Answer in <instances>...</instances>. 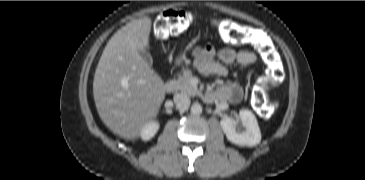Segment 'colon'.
I'll use <instances>...</instances> for the list:
<instances>
[{"label": "colon", "mask_w": 365, "mask_h": 180, "mask_svg": "<svg viewBox=\"0 0 365 180\" xmlns=\"http://www.w3.org/2000/svg\"><path fill=\"white\" fill-rule=\"evenodd\" d=\"M195 22L193 12L186 9H168L159 15L153 25V36L159 40H166L170 37L184 34ZM220 25L221 21H215ZM255 36V32L249 27H235L230 23L224 24V30L221 33L222 39L233 46H243L250 43ZM261 54L266 57L270 64L269 72L262 77L260 89L257 92V100L260 104H266L267 110L272 111L274 108L268 104V92L277 86L283 78V72L274 53L267 47L261 49Z\"/></svg>", "instance_id": "colon-1"}]
</instances>
